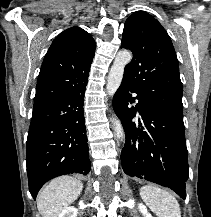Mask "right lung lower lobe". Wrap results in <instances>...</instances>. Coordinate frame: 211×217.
Returning <instances> with one entry per match:
<instances>
[{"instance_id": "obj_1", "label": "right lung lower lobe", "mask_w": 211, "mask_h": 217, "mask_svg": "<svg viewBox=\"0 0 211 217\" xmlns=\"http://www.w3.org/2000/svg\"><path fill=\"white\" fill-rule=\"evenodd\" d=\"M86 85L33 109L26 162L29 191L34 199L50 179L70 173L87 175L90 171L83 112Z\"/></svg>"}]
</instances>
